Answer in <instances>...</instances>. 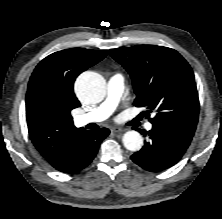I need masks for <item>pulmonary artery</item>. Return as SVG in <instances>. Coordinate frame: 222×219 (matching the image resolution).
I'll return each mask as SVG.
<instances>
[{"instance_id": "e3ab8cb5", "label": "pulmonary artery", "mask_w": 222, "mask_h": 219, "mask_svg": "<svg viewBox=\"0 0 222 219\" xmlns=\"http://www.w3.org/2000/svg\"><path fill=\"white\" fill-rule=\"evenodd\" d=\"M124 90V78L117 73L112 75L107 83V96L103 103L91 111L74 117L77 126H84L90 123H99L109 118L114 112ZM152 124L148 123L146 129L150 130Z\"/></svg>"}]
</instances>
